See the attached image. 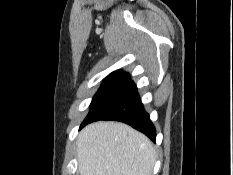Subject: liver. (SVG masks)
<instances>
[{
    "instance_id": "obj_1",
    "label": "liver",
    "mask_w": 233,
    "mask_h": 175,
    "mask_svg": "<svg viewBox=\"0 0 233 175\" xmlns=\"http://www.w3.org/2000/svg\"><path fill=\"white\" fill-rule=\"evenodd\" d=\"M81 175H152L156 155L153 143L120 122L87 125L77 139Z\"/></svg>"
}]
</instances>
